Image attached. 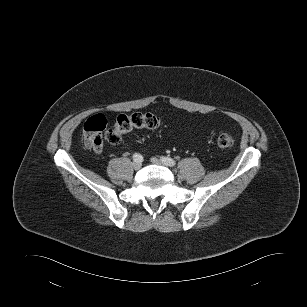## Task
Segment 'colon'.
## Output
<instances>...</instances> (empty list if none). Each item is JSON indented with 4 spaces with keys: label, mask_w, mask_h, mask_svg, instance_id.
Listing matches in <instances>:
<instances>
[{
    "label": "colon",
    "mask_w": 307,
    "mask_h": 307,
    "mask_svg": "<svg viewBox=\"0 0 307 307\" xmlns=\"http://www.w3.org/2000/svg\"><path fill=\"white\" fill-rule=\"evenodd\" d=\"M160 119L152 113L120 114L115 124L106 130V118L97 114L83 125V137L85 144L96 151L102 149L104 141L111 145H117L127 132L133 129H155L160 125ZM234 144V138L227 132L221 131L217 136V145L222 149H228Z\"/></svg>",
    "instance_id": "obj_1"
}]
</instances>
